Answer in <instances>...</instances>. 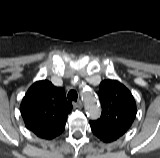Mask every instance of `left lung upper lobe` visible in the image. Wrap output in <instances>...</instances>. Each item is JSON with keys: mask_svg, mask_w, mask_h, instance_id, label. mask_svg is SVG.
Here are the masks:
<instances>
[{"mask_svg": "<svg viewBox=\"0 0 160 158\" xmlns=\"http://www.w3.org/2000/svg\"><path fill=\"white\" fill-rule=\"evenodd\" d=\"M101 117L90 121L119 136L124 135L136 117V103L131 92L116 80H104L100 84Z\"/></svg>", "mask_w": 160, "mask_h": 158, "instance_id": "obj_1", "label": "left lung upper lobe"}]
</instances>
